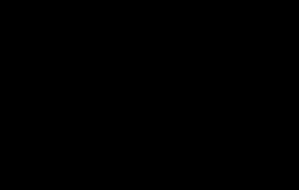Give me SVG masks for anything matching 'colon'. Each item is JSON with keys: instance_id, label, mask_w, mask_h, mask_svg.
<instances>
[{"instance_id": "obj_1", "label": "colon", "mask_w": 299, "mask_h": 190, "mask_svg": "<svg viewBox=\"0 0 299 190\" xmlns=\"http://www.w3.org/2000/svg\"><path fill=\"white\" fill-rule=\"evenodd\" d=\"M121 19V14H117L115 12H105L97 17L85 21L78 31L79 37L83 40L93 39L98 35L108 32ZM194 33V31L191 32V35ZM103 81L104 77L101 73L94 74V84L101 85Z\"/></svg>"}]
</instances>
